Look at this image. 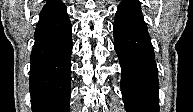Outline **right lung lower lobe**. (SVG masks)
I'll return each instance as SVG.
<instances>
[{
    "label": "right lung lower lobe",
    "mask_w": 193,
    "mask_h": 112,
    "mask_svg": "<svg viewBox=\"0 0 193 112\" xmlns=\"http://www.w3.org/2000/svg\"><path fill=\"white\" fill-rule=\"evenodd\" d=\"M34 39L29 79L32 112H69L72 27L62 1L44 5Z\"/></svg>",
    "instance_id": "obj_1"
}]
</instances>
